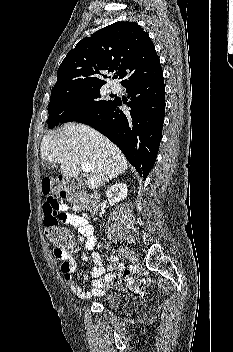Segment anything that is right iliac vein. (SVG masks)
<instances>
[{"label":"right iliac vein","mask_w":233,"mask_h":352,"mask_svg":"<svg viewBox=\"0 0 233 352\" xmlns=\"http://www.w3.org/2000/svg\"><path fill=\"white\" fill-rule=\"evenodd\" d=\"M117 252H118V254L120 256L128 258L129 260H131L134 263L137 262V259H136V256H135L134 252L131 251L130 249L120 247V248L117 249Z\"/></svg>","instance_id":"right-iliac-vein-1"}]
</instances>
